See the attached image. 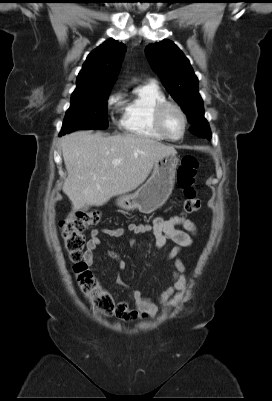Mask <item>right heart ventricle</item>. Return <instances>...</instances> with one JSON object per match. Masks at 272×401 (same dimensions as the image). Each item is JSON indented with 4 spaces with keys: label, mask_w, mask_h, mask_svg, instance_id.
Masks as SVG:
<instances>
[{
    "label": "right heart ventricle",
    "mask_w": 272,
    "mask_h": 401,
    "mask_svg": "<svg viewBox=\"0 0 272 401\" xmlns=\"http://www.w3.org/2000/svg\"><path fill=\"white\" fill-rule=\"evenodd\" d=\"M167 98L155 84H143L135 88L132 97L123 108L121 127L137 138L165 140L154 122L156 108Z\"/></svg>",
    "instance_id": "e07e8e85"
}]
</instances>
